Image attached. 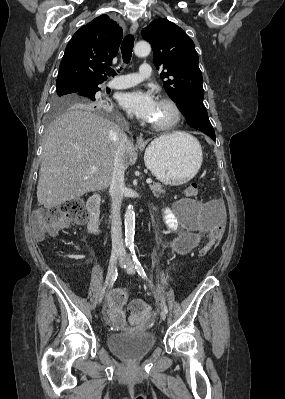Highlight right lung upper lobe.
<instances>
[{
    "label": "right lung upper lobe",
    "instance_id": "obj_1",
    "mask_svg": "<svg viewBox=\"0 0 285 399\" xmlns=\"http://www.w3.org/2000/svg\"><path fill=\"white\" fill-rule=\"evenodd\" d=\"M122 36V28L107 15L81 27L66 47L56 90L86 89L102 83L106 79L103 73L117 55Z\"/></svg>",
    "mask_w": 285,
    "mask_h": 399
}]
</instances>
